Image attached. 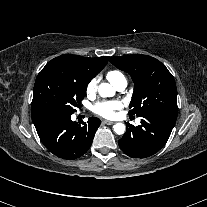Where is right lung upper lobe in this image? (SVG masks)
<instances>
[{"label": "right lung upper lobe", "instance_id": "1", "mask_svg": "<svg viewBox=\"0 0 207 207\" xmlns=\"http://www.w3.org/2000/svg\"><path fill=\"white\" fill-rule=\"evenodd\" d=\"M108 59V56L86 58L77 55L65 54L54 58L53 60L64 62L77 69L81 76L90 82V80L104 68L108 62Z\"/></svg>", "mask_w": 207, "mask_h": 207}]
</instances>
